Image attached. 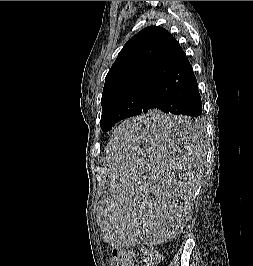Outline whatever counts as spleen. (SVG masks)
<instances>
[{"mask_svg":"<svg viewBox=\"0 0 253 266\" xmlns=\"http://www.w3.org/2000/svg\"><path fill=\"white\" fill-rule=\"evenodd\" d=\"M199 126L179 111H146L111 135V189L100 222L109 248H165L186 229L198 186Z\"/></svg>","mask_w":253,"mask_h":266,"instance_id":"1","label":"spleen"}]
</instances>
